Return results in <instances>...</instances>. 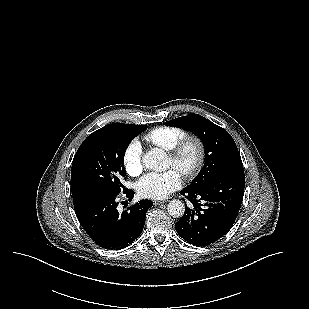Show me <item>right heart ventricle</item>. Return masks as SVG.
<instances>
[{
    "mask_svg": "<svg viewBox=\"0 0 309 309\" xmlns=\"http://www.w3.org/2000/svg\"><path fill=\"white\" fill-rule=\"evenodd\" d=\"M186 135L187 132L180 127L160 126L147 132L143 139L152 146L169 151Z\"/></svg>",
    "mask_w": 309,
    "mask_h": 309,
    "instance_id": "e07e8e85",
    "label": "right heart ventricle"
}]
</instances>
